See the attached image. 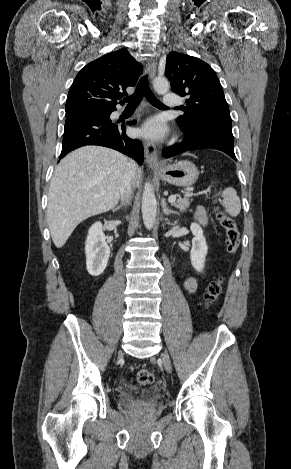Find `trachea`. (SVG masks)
<instances>
[{"label":"trachea","mask_w":291,"mask_h":469,"mask_svg":"<svg viewBox=\"0 0 291 469\" xmlns=\"http://www.w3.org/2000/svg\"><path fill=\"white\" fill-rule=\"evenodd\" d=\"M143 96H145L148 102H150L152 105L156 107H162V108L165 107V105L162 102H160L151 91L149 84H148V75L143 76L139 80V83L137 85V88L134 94H132L129 97H125L123 100L126 103H128L127 107L136 108L140 104Z\"/></svg>","instance_id":"obj_1"}]
</instances>
